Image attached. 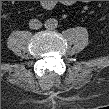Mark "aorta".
I'll return each instance as SVG.
<instances>
[{
  "instance_id": "obj_1",
  "label": "aorta",
  "mask_w": 109,
  "mask_h": 109,
  "mask_svg": "<svg viewBox=\"0 0 109 109\" xmlns=\"http://www.w3.org/2000/svg\"><path fill=\"white\" fill-rule=\"evenodd\" d=\"M44 25L47 29L53 30V29L57 28L58 21L54 18H49L45 21Z\"/></svg>"
}]
</instances>
